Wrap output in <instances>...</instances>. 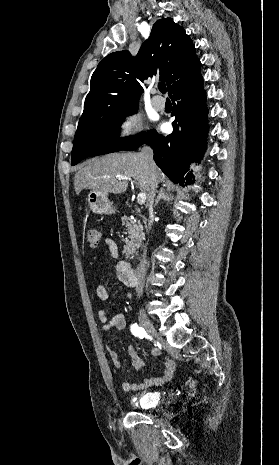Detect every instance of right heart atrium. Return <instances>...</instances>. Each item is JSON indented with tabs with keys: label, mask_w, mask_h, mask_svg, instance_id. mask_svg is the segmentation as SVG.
Here are the masks:
<instances>
[{
	"label": "right heart atrium",
	"mask_w": 279,
	"mask_h": 465,
	"mask_svg": "<svg viewBox=\"0 0 279 465\" xmlns=\"http://www.w3.org/2000/svg\"><path fill=\"white\" fill-rule=\"evenodd\" d=\"M144 132L141 115L134 110L124 112L117 120L115 136L121 141L132 140L140 137Z\"/></svg>",
	"instance_id": "d8ad5b80"
}]
</instances>
